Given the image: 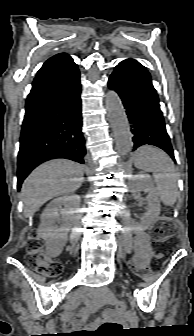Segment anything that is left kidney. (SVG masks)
<instances>
[{
  "label": "left kidney",
  "instance_id": "5707ae66",
  "mask_svg": "<svg viewBox=\"0 0 194 336\" xmlns=\"http://www.w3.org/2000/svg\"><path fill=\"white\" fill-rule=\"evenodd\" d=\"M132 192L138 193L141 191L148 192L147 196V212L141 219L139 224H135L138 229L146 230L159 217L161 205L157 196L153 180L149 174L139 173L132 179Z\"/></svg>",
  "mask_w": 194,
  "mask_h": 336
}]
</instances>
